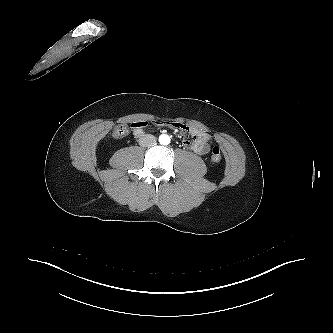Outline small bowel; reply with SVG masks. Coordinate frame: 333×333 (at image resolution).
Returning <instances> with one entry per match:
<instances>
[{"label":"small bowel","instance_id":"obj_1","mask_svg":"<svg viewBox=\"0 0 333 333\" xmlns=\"http://www.w3.org/2000/svg\"><path fill=\"white\" fill-rule=\"evenodd\" d=\"M146 121L140 120L132 123L133 133L140 137L144 133ZM158 127H172L181 130L184 134L182 144L186 148L194 151L199 155L208 154L211 149V137L204 132L190 128L180 122L159 120L155 122Z\"/></svg>","mask_w":333,"mask_h":333}]
</instances>
